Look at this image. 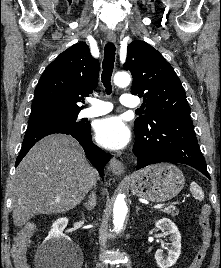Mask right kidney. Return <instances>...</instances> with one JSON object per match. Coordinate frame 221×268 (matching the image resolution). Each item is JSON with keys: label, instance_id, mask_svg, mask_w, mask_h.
<instances>
[{"label": "right kidney", "instance_id": "ca27d5eb", "mask_svg": "<svg viewBox=\"0 0 221 268\" xmlns=\"http://www.w3.org/2000/svg\"><path fill=\"white\" fill-rule=\"evenodd\" d=\"M67 225H68L67 218L57 219L52 224L51 230H50L48 236L45 238V242L58 241V240L70 241V238L63 233V231L67 227Z\"/></svg>", "mask_w": 221, "mask_h": 268}]
</instances>
